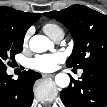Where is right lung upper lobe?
<instances>
[{"mask_svg": "<svg viewBox=\"0 0 107 107\" xmlns=\"http://www.w3.org/2000/svg\"><path fill=\"white\" fill-rule=\"evenodd\" d=\"M40 17L41 14L38 13H25L11 7H0V20L24 34Z\"/></svg>", "mask_w": 107, "mask_h": 107, "instance_id": "obj_1", "label": "right lung upper lobe"}]
</instances>
